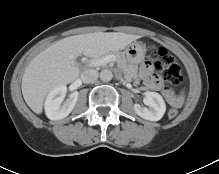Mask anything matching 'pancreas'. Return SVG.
<instances>
[{
  "instance_id": "cf45deb5",
  "label": "pancreas",
  "mask_w": 219,
  "mask_h": 174,
  "mask_svg": "<svg viewBox=\"0 0 219 174\" xmlns=\"http://www.w3.org/2000/svg\"><path fill=\"white\" fill-rule=\"evenodd\" d=\"M110 55L115 56L118 67L124 72V76L127 81H131L133 79L138 80L136 69L133 66L129 65L126 57L119 52H109L102 56L96 57L95 60H101Z\"/></svg>"
}]
</instances>
